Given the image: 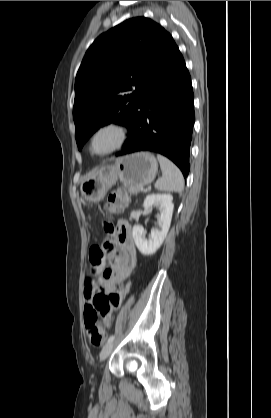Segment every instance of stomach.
Instances as JSON below:
<instances>
[{"label":"stomach","mask_w":271,"mask_h":418,"mask_svg":"<svg viewBox=\"0 0 271 418\" xmlns=\"http://www.w3.org/2000/svg\"><path fill=\"white\" fill-rule=\"evenodd\" d=\"M157 170L158 163L153 154L138 152L102 166L82 181L80 189L86 200L97 203L117 180L143 186L154 180Z\"/></svg>","instance_id":"0dacf381"}]
</instances>
